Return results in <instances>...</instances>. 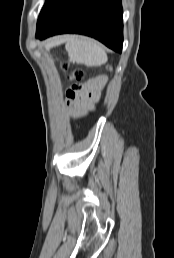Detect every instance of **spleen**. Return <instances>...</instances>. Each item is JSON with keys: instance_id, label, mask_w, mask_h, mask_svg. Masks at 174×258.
<instances>
[{"instance_id": "1", "label": "spleen", "mask_w": 174, "mask_h": 258, "mask_svg": "<svg viewBox=\"0 0 174 258\" xmlns=\"http://www.w3.org/2000/svg\"><path fill=\"white\" fill-rule=\"evenodd\" d=\"M66 50L71 62L86 66H99L108 59L104 47L89 38L71 36L66 43Z\"/></svg>"}]
</instances>
